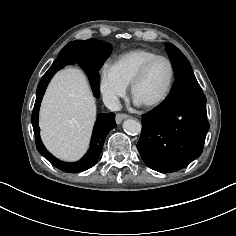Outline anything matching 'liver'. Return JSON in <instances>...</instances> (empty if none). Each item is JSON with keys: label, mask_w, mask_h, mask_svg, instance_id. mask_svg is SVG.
<instances>
[{"label": "liver", "mask_w": 236, "mask_h": 236, "mask_svg": "<svg viewBox=\"0 0 236 236\" xmlns=\"http://www.w3.org/2000/svg\"><path fill=\"white\" fill-rule=\"evenodd\" d=\"M96 119L95 99L81 70L66 68L51 80L42 100V141L56 157L76 161L86 152Z\"/></svg>", "instance_id": "1"}]
</instances>
